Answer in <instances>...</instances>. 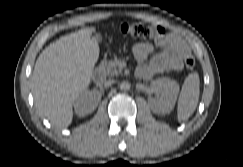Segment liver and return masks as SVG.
Masks as SVG:
<instances>
[{
	"mask_svg": "<svg viewBox=\"0 0 243 167\" xmlns=\"http://www.w3.org/2000/svg\"><path fill=\"white\" fill-rule=\"evenodd\" d=\"M91 28L61 37L39 55L32 76L36 108L57 127H67L73 104L90 84L99 46Z\"/></svg>",
	"mask_w": 243,
	"mask_h": 167,
	"instance_id": "1",
	"label": "liver"
}]
</instances>
